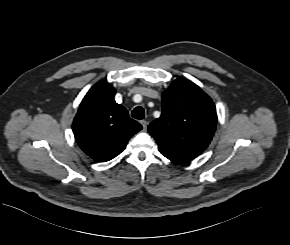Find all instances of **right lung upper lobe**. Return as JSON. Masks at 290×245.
<instances>
[{
    "instance_id": "1",
    "label": "right lung upper lobe",
    "mask_w": 290,
    "mask_h": 245,
    "mask_svg": "<svg viewBox=\"0 0 290 245\" xmlns=\"http://www.w3.org/2000/svg\"><path fill=\"white\" fill-rule=\"evenodd\" d=\"M115 89L105 81L95 84L82 100L73 122L81 149L98 162L119 155L142 126L114 101Z\"/></svg>"
}]
</instances>
